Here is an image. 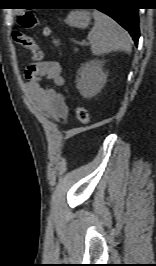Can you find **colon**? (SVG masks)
Masks as SVG:
<instances>
[{
  "mask_svg": "<svg viewBox=\"0 0 156 266\" xmlns=\"http://www.w3.org/2000/svg\"><path fill=\"white\" fill-rule=\"evenodd\" d=\"M19 24L24 29H34L37 27H41L44 36L52 37V32L50 27L41 26L40 21L38 20L36 15L31 11H26L20 16ZM14 38L22 47L30 50V52L32 53V59L35 62H39L42 59L43 53L39 48V46L35 43V41L31 37L22 34L20 32H17L15 33ZM52 41L55 45H59L60 43V40L55 37H52ZM74 112L78 121L82 125L88 126L90 124V116L86 108L80 105H76L74 108Z\"/></svg>",
  "mask_w": 156,
  "mask_h": 266,
  "instance_id": "1",
  "label": "colon"
}]
</instances>
